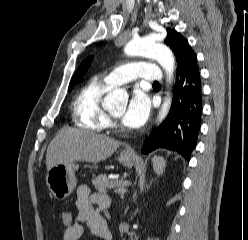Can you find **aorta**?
Returning <instances> with one entry per match:
<instances>
[{"mask_svg": "<svg viewBox=\"0 0 248 240\" xmlns=\"http://www.w3.org/2000/svg\"><path fill=\"white\" fill-rule=\"evenodd\" d=\"M124 52L128 56H142L156 59L165 70L168 82L171 83L175 60L171 50L165 45L157 43L149 37L138 38L130 41L125 46ZM127 97L128 95L124 90L115 89L107 94L104 102L110 105H117L119 102L127 99ZM171 102L172 99L168 93L158 115V120L160 122L167 116L170 110Z\"/></svg>", "mask_w": 248, "mask_h": 240, "instance_id": "obj_1", "label": "aorta"}]
</instances>
